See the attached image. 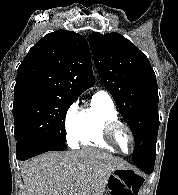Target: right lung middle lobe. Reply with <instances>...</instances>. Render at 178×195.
Instances as JSON below:
<instances>
[{
  "label": "right lung middle lobe",
  "mask_w": 178,
  "mask_h": 195,
  "mask_svg": "<svg viewBox=\"0 0 178 195\" xmlns=\"http://www.w3.org/2000/svg\"><path fill=\"white\" fill-rule=\"evenodd\" d=\"M75 100L46 94L15 96L13 116L17 143H65V117Z\"/></svg>",
  "instance_id": "obj_1"
}]
</instances>
